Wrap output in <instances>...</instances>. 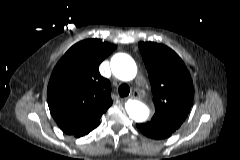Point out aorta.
I'll list each match as a JSON object with an SVG mask.
<instances>
[{
	"label": "aorta",
	"instance_id": "1",
	"mask_svg": "<svg viewBox=\"0 0 240 160\" xmlns=\"http://www.w3.org/2000/svg\"><path fill=\"white\" fill-rule=\"evenodd\" d=\"M113 75L122 80L130 81L137 73V66L132 57L124 53L115 54L111 59ZM126 111L131 119L136 122H144L148 119L150 110L140 101L128 100L125 104Z\"/></svg>",
	"mask_w": 240,
	"mask_h": 160
}]
</instances>
